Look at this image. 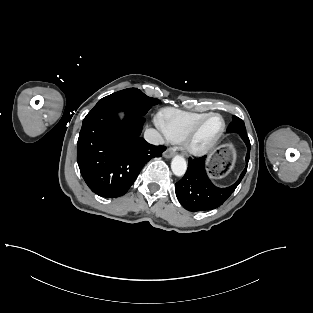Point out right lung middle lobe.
<instances>
[{"mask_svg": "<svg viewBox=\"0 0 313 313\" xmlns=\"http://www.w3.org/2000/svg\"><path fill=\"white\" fill-rule=\"evenodd\" d=\"M159 103L156 98L148 97L136 88H128L108 95L94 106L93 109L106 105L126 107L139 115H145L151 106Z\"/></svg>", "mask_w": 313, "mask_h": 313, "instance_id": "obj_1", "label": "right lung middle lobe"}]
</instances>
